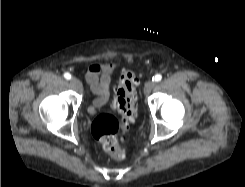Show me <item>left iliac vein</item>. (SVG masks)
Wrapping results in <instances>:
<instances>
[{
	"mask_svg": "<svg viewBox=\"0 0 245 187\" xmlns=\"http://www.w3.org/2000/svg\"><path fill=\"white\" fill-rule=\"evenodd\" d=\"M154 86H155V82L154 81L146 82V84L144 86V93L146 95H148L151 92V90L154 88Z\"/></svg>",
	"mask_w": 245,
	"mask_h": 187,
	"instance_id": "left-iliac-vein-1",
	"label": "left iliac vein"
}]
</instances>
